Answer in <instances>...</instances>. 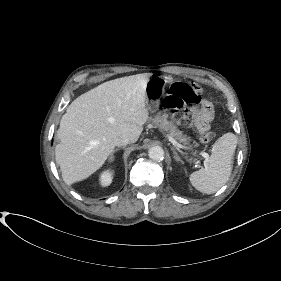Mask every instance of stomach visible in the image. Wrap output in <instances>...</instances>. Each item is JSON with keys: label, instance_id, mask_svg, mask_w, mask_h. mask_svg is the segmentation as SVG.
Instances as JSON below:
<instances>
[{"label": "stomach", "instance_id": "stomach-1", "mask_svg": "<svg viewBox=\"0 0 281 281\" xmlns=\"http://www.w3.org/2000/svg\"><path fill=\"white\" fill-rule=\"evenodd\" d=\"M167 84L168 80L162 76L148 78L145 102L151 112L158 110L159 99L163 95Z\"/></svg>", "mask_w": 281, "mask_h": 281}]
</instances>
